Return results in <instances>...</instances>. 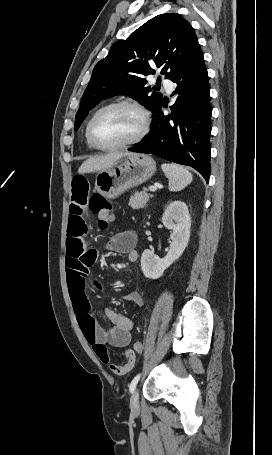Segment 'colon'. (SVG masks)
Wrapping results in <instances>:
<instances>
[{
	"mask_svg": "<svg viewBox=\"0 0 272 455\" xmlns=\"http://www.w3.org/2000/svg\"><path fill=\"white\" fill-rule=\"evenodd\" d=\"M89 208L97 219L100 229L105 230L109 227L113 220V212L111 204L98 194H94L89 201ZM134 353H142L143 343L136 341L133 346Z\"/></svg>",
	"mask_w": 272,
	"mask_h": 455,
	"instance_id": "1",
	"label": "colon"
}]
</instances>
